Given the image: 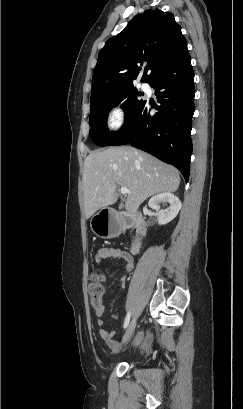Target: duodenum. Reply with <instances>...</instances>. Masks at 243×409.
I'll return each instance as SVG.
<instances>
[{"label": "duodenum", "mask_w": 243, "mask_h": 409, "mask_svg": "<svg viewBox=\"0 0 243 409\" xmlns=\"http://www.w3.org/2000/svg\"><path fill=\"white\" fill-rule=\"evenodd\" d=\"M123 225L133 224L135 226V241L131 245V252L137 253L140 248V238L145 234L146 223L143 216L140 213H132L130 215H124L122 218Z\"/></svg>", "instance_id": "410a0bca"}]
</instances>
